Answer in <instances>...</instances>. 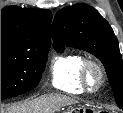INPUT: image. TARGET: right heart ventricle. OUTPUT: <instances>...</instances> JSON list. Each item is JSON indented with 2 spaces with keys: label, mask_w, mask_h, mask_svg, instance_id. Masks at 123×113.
Masks as SVG:
<instances>
[{
  "label": "right heart ventricle",
  "mask_w": 123,
  "mask_h": 113,
  "mask_svg": "<svg viewBox=\"0 0 123 113\" xmlns=\"http://www.w3.org/2000/svg\"><path fill=\"white\" fill-rule=\"evenodd\" d=\"M85 58L74 52L55 55L50 66L51 85L65 92H76L83 88L80 70Z\"/></svg>",
  "instance_id": "e07e8e85"
}]
</instances>
